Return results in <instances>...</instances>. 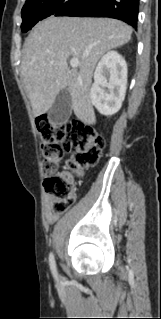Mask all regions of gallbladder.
I'll use <instances>...</instances> for the list:
<instances>
[{"mask_svg": "<svg viewBox=\"0 0 161 319\" xmlns=\"http://www.w3.org/2000/svg\"><path fill=\"white\" fill-rule=\"evenodd\" d=\"M71 95L67 88L61 90L51 106L48 116L52 123L67 122L71 115Z\"/></svg>", "mask_w": 161, "mask_h": 319, "instance_id": "obj_1", "label": "gallbladder"}]
</instances>
